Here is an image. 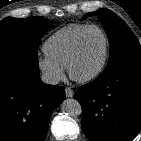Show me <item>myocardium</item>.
<instances>
[{
	"label": "myocardium",
	"mask_w": 141,
	"mask_h": 141,
	"mask_svg": "<svg viewBox=\"0 0 141 141\" xmlns=\"http://www.w3.org/2000/svg\"><path fill=\"white\" fill-rule=\"evenodd\" d=\"M91 30H98L103 35L104 40H105L104 55H103V58H102L100 65L98 66V68L95 71H93L92 73H90L86 76H78L74 72V64L80 54L82 41H83L85 35ZM109 51H110V40H109V37H108L107 33L105 32V30L98 25H89L87 28H85L80 33V35L78 36V38L74 44L73 50L71 52V55H70L68 63H67V69H68L69 76L73 80H75L76 82H79V83H88V82L95 80L97 77H99L102 74V72L104 71V69L106 67L108 57H109Z\"/></svg>",
	"instance_id": "f54148a6"
}]
</instances>
